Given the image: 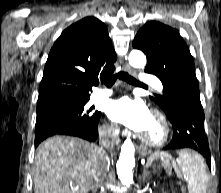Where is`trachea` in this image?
I'll list each match as a JSON object with an SVG mask.
<instances>
[{
  "instance_id": "3493384b",
  "label": "trachea",
  "mask_w": 221,
  "mask_h": 193,
  "mask_svg": "<svg viewBox=\"0 0 221 193\" xmlns=\"http://www.w3.org/2000/svg\"><path fill=\"white\" fill-rule=\"evenodd\" d=\"M117 78H119L123 81H126L127 83H130V84L144 85V84L140 83L139 81H137L132 76H130L128 73L123 72V71H120V72L116 73L115 75H112V76L102 80V83H104L107 87H112Z\"/></svg>"
}]
</instances>
